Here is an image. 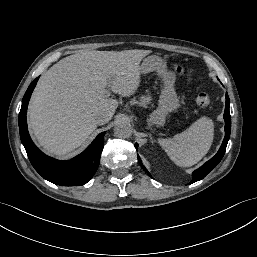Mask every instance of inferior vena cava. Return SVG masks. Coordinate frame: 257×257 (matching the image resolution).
Returning a JSON list of instances; mask_svg holds the SVG:
<instances>
[{
	"label": "inferior vena cava",
	"mask_w": 257,
	"mask_h": 257,
	"mask_svg": "<svg viewBox=\"0 0 257 257\" xmlns=\"http://www.w3.org/2000/svg\"><path fill=\"white\" fill-rule=\"evenodd\" d=\"M110 119H111L110 114H100L96 117V123L98 125H103V124L109 122Z\"/></svg>",
	"instance_id": "inferior-vena-cava-1"
}]
</instances>
